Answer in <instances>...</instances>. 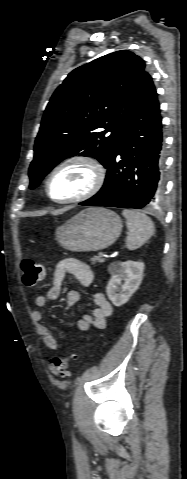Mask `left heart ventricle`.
Wrapping results in <instances>:
<instances>
[{
	"label": "left heart ventricle",
	"mask_w": 187,
	"mask_h": 479,
	"mask_svg": "<svg viewBox=\"0 0 187 479\" xmlns=\"http://www.w3.org/2000/svg\"><path fill=\"white\" fill-rule=\"evenodd\" d=\"M92 179L90 169L83 164L65 167L52 179L49 192L55 199L74 197L88 188Z\"/></svg>",
	"instance_id": "left-heart-ventricle-1"
}]
</instances>
